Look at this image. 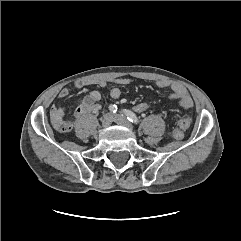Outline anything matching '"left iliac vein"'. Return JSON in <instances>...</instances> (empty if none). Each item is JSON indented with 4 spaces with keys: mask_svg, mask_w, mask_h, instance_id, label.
<instances>
[{
    "mask_svg": "<svg viewBox=\"0 0 241 241\" xmlns=\"http://www.w3.org/2000/svg\"><path fill=\"white\" fill-rule=\"evenodd\" d=\"M114 121L119 124V125H122V126H125L129 129L132 130V125L131 123L126 119V117H124L123 115H114Z\"/></svg>",
    "mask_w": 241,
    "mask_h": 241,
    "instance_id": "1",
    "label": "left iliac vein"
}]
</instances>
